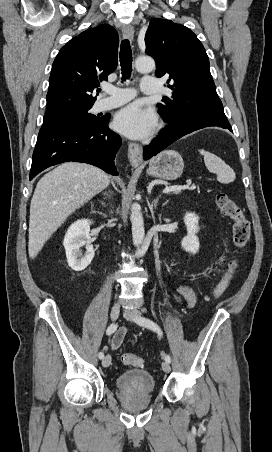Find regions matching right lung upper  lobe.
<instances>
[{"label": "right lung upper lobe", "mask_w": 272, "mask_h": 452, "mask_svg": "<svg viewBox=\"0 0 272 452\" xmlns=\"http://www.w3.org/2000/svg\"><path fill=\"white\" fill-rule=\"evenodd\" d=\"M118 35L110 25L88 29L64 45L49 78L46 114L92 106L99 82L117 67Z\"/></svg>", "instance_id": "cb5924a9"}]
</instances>
